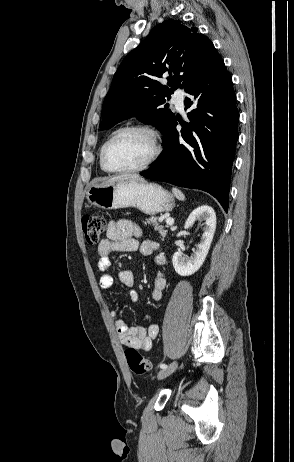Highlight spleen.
I'll list each match as a JSON object with an SVG mask.
<instances>
[{"mask_svg":"<svg viewBox=\"0 0 294 462\" xmlns=\"http://www.w3.org/2000/svg\"><path fill=\"white\" fill-rule=\"evenodd\" d=\"M172 192L174 194V196L179 199V200H184L185 199V196L184 194L177 188H172Z\"/></svg>","mask_w":294,"mask_h":462,"instance_id":"3e777b00","label":"spleen"}]
</instances>
